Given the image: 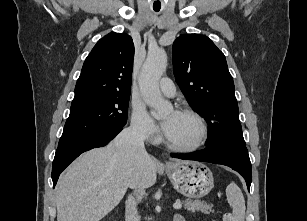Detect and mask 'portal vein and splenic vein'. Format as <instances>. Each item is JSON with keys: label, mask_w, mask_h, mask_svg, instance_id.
<instances>
[{"label": "portal vein and splenic vein", "mask_w": 307, "mask_h": 221, "mask_svg": "<svg viewBox=\"0 0 307 221\" xmlns=\"http://www.w3.org/2000/svg\"><path fill=\"white\" fill-rule=\"evenodd\" d=\"M173 208L176 210H179L182 208V204L180 202H176L173 204Z\"/></svg>", "instance_id": "1"}]
</instances>
